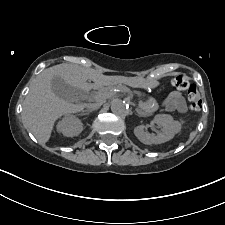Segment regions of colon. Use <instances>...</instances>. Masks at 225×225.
I'll use <instances>...</instances> for the list:
<instances>
[{"label": "colon", "instance_id": "1", "mask_svg": "<svg viewBox=\"0 0 225 225\" xmlns=\"http://www.w3.org/2000/svg\"><path fill=\"white\" fill-rule=\"evenodd\" d=\"M174 88L180 91H187L189 105L191 110L199 111L202 107V98L197 87L190 83V81L183 75L175 76L172 81Z\"/></svg>", "mask_w": 225, "mask_h": 225}]
</instances>
